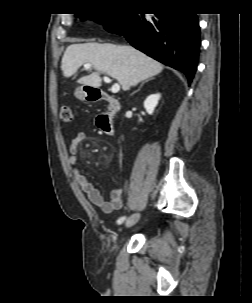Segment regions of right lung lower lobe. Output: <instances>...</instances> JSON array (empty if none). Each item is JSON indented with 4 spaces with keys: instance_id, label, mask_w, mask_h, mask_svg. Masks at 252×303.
I'll use <instances>...</instances> for the list:
<instances>
[{
    "instance_id": "1",
    "label": "right lung lower lobe",
    "mask_w": 252,
    "mask_h": 303,
    "mask_svg": "<svg viewBox=\"0 0 252 303\" xmlns=\"http://www.w3.org/2000/svg\"><path fill=\"white\" fill-rule=\"evenodd\" d=\"M106 30L124 35L133 47L182 71L192 81L200 46L196 14L166 11L146 19L144 14L132 13Z\"/></svg>"
}]
</instances>
